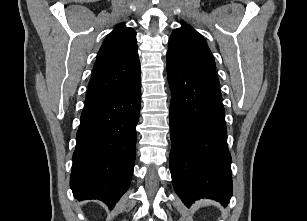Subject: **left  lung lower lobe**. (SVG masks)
Returning <instances> with one entry per match:
<instances>
[{"label":"left lung lower lobe","instance_id":"obj_1","mask_svg":"<svg viewBox=\"0 0 307 221\" xmlns=\"http://www.w3.org/2000/svg\"><path fill=\"white\" fill-rule=\"evenodd\" d=\"M170 171L174 188L190 205L211 198L226 206L232 196L231 155L222 95L170 55Z\"/></svg>","mask_w":307,"mask_h":221}]
</instances>
